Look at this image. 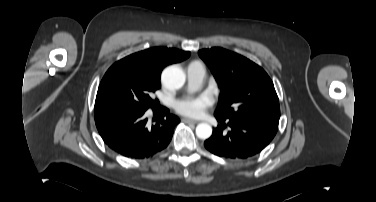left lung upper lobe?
<instances>
[{
	"label": "left lung upper lobe",
	"instance_id": "obj_1",
	"mask_svg": "<svg viewBox=\"0 0 376 202\" xmlns=\"http://www.w3.org/2000/svg\"><path fill=\"white\" fill-rule=\"evenodd\" d=\"M198 53L221 88L215 116L261 120L278 127L279 100L270 77L260 66L223 48Z\"/></svg>",
	"mask_w": 376,
	"mask_h": 202
}]
</instances>
